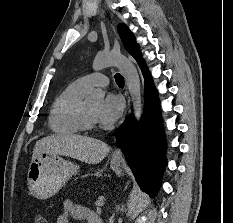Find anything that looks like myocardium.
I'll use <instances>...</instances> for the list:
<instances>
[{
    "mask_svg": "<svg viewBox=\"0 0 233 223\" xmlns=\"http://www.w3.org/2000/svg\"><path fill=\"white\" fill-rule=\"evenodd\" d=\"M80 123L83 130H94L98 127L97 120H94L87 109V102H84L80 111Z\"/></svg>",
    "mask_w": 233,
    "mask_h": 223,
    "instance_id": "myocardium-1",
    "label": "myocardium"
}]
</instances>
